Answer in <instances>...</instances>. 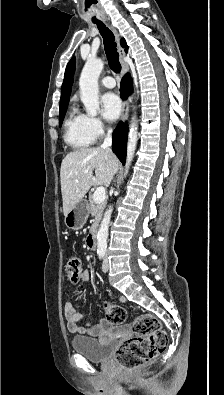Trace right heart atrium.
<instances>
[{"instance_id":"obj_1","label":"right heart atrium","mask_w":224,"mask_h":395,"mask_svg":"<svg viewBox=\"0 0 224 395\" xmlns=\"http://www.w3.org/2000/svg\"><path fill=\"white\" fill-rule=\"evenodd\" d=\"M89 131L97 138L105 134L107 127L105 123L98 117L84 115Z\"/></svg>"}]
</instances>
